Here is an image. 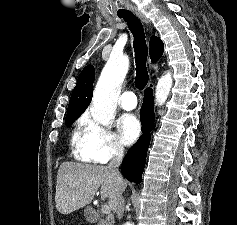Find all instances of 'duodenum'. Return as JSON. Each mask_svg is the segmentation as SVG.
I'll list each match as a JSON object with an SVG mask.
<instances>
[{
  "instance_id": "duodenum-1",
  "label": "duodenum",
  "mask_w": 237,
  "mask_h": 225,
  "mask_svg": "<svg viewBox=\"0 0 237 225\" xmlns=\"http://www.w3.org/2000/svg\"><path fill=\"white\" fill-rule=\"evenodd\" d=\"M96 225H109V223L105 220H100L96 223Z\"/></svg>"
}]
</instances>
